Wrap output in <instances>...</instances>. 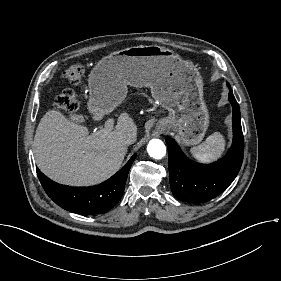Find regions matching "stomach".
Returning <instances> with one entry per match:
<instances>
[{"instance_id": "obj_1", "label": "stomach", "mask_w": 281, "mask_h": 281, "mask_svg": "<svg viewBox=\"0 0 281 281\" xmlns=\"http://www.w3.org/2000/svg\"><path fill=\"white\" fill-rule=\"evenodd\" d=\"M127 85L150 87L154 100L169 111L158 128L176 133L185 145L202 141L209 114L203 99L202 76L191 61L157 45L113 52L103 57L89 74V110H113L125 99Z\"/></svg>"}]
</instances>
